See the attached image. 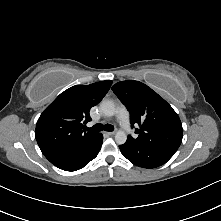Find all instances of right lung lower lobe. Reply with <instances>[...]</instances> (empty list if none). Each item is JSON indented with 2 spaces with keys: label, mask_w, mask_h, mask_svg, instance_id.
Segmentation results:
<instances>
[{
  "label": "right lung lower lobe",
  "mask_w": 221,
  "mask_h": 221,
  "mask_svg": "<svg viewBox=\"0 0 221 221\" xmlns=\"http://www.w3.org/2000/svg\"><path fill=\"white\" fill-rule=\"evenodd\" d=\"M102 141L103 136L100 134L93 142L77 152L68 164L59 168L65 171H76L85 167L98 155L101 149Z\"/></svg>",
  "instance_id": "98d812e1"
}]
</instances>
